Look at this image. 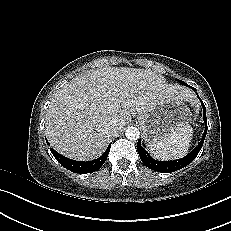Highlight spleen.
I'll return each instance as SVG.
<instances>
[{"instance_id": "obj_1", "label": "spleen", "mask_w": 231, "mask_h": 231, "mask_svg": "<svg viewBox=\"0 0 231 231\" xmlns=\"http://www.w3.org/2000/svg\"><path fill=\"white\" fill-rule=\"evenodd\" d=\"M193 137V128L184 125L170 136L148 145L150 153L157 159L173 160L184 157L188 153Z\"/></svg>"}]
</instances>
